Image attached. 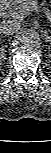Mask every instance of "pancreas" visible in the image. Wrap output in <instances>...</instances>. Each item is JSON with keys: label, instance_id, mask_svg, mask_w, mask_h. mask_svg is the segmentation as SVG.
Here are the masks:
<instances>
[{"label": "pancreas", "instance_id": "cf45deb5", "mask_svg": "<svg viewBox=\"0 0 51 153\" xmlns=\"http://www.w3.org/2000/svg\"><path fill=\"white\" fill-rule=\"evenodd\" d=\"M43 5V4H42ZM39 7L38 0H26L25 2L14 6L10 10V15L13 17L21 18L22 17V11L24 9H28L29 11H33Z\"/></svg>", "mask_w": 51, "mask_h": 153}]
</instances>
